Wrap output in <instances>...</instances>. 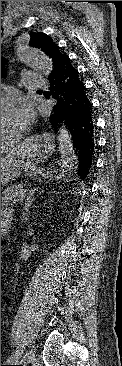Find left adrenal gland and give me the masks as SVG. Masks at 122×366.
Returning a JSON list of instances; mask_svg holds the SVG:
<instances>
[{
  "label": "left adrenal gland",
  "instance_id": "1",
  "mask_svg": "<svg viewBox=\"0 0 122 366\" xmlns=\"http://www.w3.org/2000/svg\"><path fill=\"white\" fill-rule=\"evenodd\" d=\"M33 193H34V190L29 191V193H28V195H27V197L25 199L24 209L26 211H28L29 206H31Z\"/></svg>",
  "mask_w": 122,
  "mask_h": 366
}]
</instances>
